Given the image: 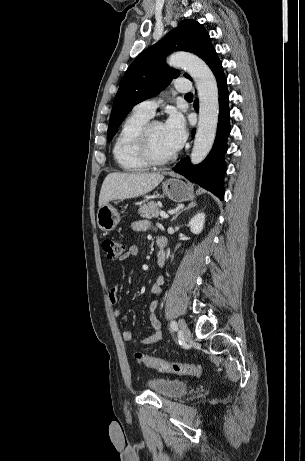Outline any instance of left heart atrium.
Returning a JSON list of instances; mask_svg holds the SVG:
<instances>
[{
    "label": "left heart atrium",
    "instance_id": "obj_1",
    "mask_svg": "<svg viewBox=\"0 0 305 461\" xmlns=\"http://www.w3.org/2000/svg\"><path fill=\"white\" fill-rule=\"evenodd\" d=\"M165 139L175 152L182 148L187 138V129L183 116L178 112L170 114L163 124Z\"/></svg>",
    "mask_w": 305,
    "mask_h": 461
}]
</instances>
